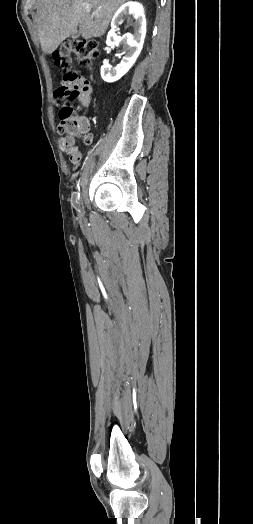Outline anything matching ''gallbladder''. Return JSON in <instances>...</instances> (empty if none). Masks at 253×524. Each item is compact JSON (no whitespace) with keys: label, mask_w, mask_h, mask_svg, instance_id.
<instances>
[{"label":"gallbladder","mask_w":253,"mask_h":524,"mask_svg":"<svg viewBox=\"0 0 253 524\" xmlns=\"http://www.w3.org/2000/svg\"><path fill=\"white\" fill-rule=\"evenodd\" d=\"M78 37V31L72 33V38H77Z\"/></svg>","instance_id":"1"}]
</instances>
